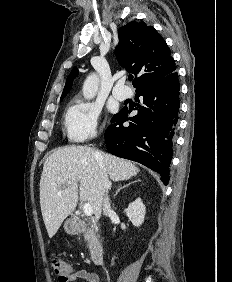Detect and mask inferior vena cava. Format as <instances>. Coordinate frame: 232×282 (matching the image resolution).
Here are the masks:
<instances>
[{"label": "inferior vena cava", "instance_id": "obj_1", "mask_svg": "<svg viewBox=\"0 0 232 282\" xmlns=\"http://www.w3.org/2000/svg\"><path fill=\"white\" fill-rule=\"evenodd\" d=\"M95 157L100 169L101 182L105 193V197L103 198V213L104 215H108L111 212L110 200L108 196V190L111 187V182L108 179L106 165L103 157L98 152H96Z\"/></svg>", "mask_w": 232, "mask_h": 282}]
</instances>
